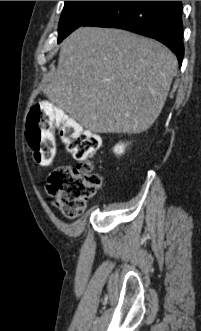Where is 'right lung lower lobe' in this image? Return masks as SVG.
<instances>
[{"label": "right lung lower lobe", "instance_id": "right-lung-lower-lobe-1", "mask_svg": "<svg viewBox=\"0 0 201 331\" xmlns=\"http://www.w3.org/2000/svg\"><path fill=\"white\" fill-rule=\"evenodd\" d=\"M82 26L119 28L154 38L170 48L182 63L181 1H111Z\"/></svg>", "mask_w": 201, "mask_h": 331}]
</instances>
